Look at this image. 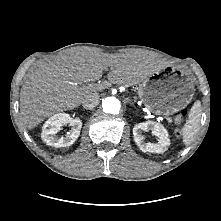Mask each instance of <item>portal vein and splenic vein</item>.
Segmentation results:
<instances>
[{"instance_id": "18ae733b", "label": "portal vein and splenic vein", "mask_w": 221, "mask_h": 221, "mask_svg": "<svg viewBox=\"0 0 221 221\" xmlns=\"http://www.w3.org/2000/svg\"><path fill=\"white\" fill-rule=\"evenodd\" d=\"M88 87H94V84H88ZM100 88L103 89L104 85H102ZM145 112L148 114V116H150V117L153 116V115H151V113L149 111L146 110ZM167 120H169V118H167Z\"/></svg>"}]
</instances>
